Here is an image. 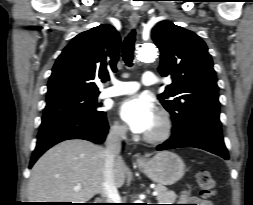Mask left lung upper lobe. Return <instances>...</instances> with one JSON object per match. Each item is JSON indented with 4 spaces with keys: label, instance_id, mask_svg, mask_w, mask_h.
Returning <instances> with one entry per match:
<instances>
[{
    "label": "left lung upper lobe",
    "instance_id": "1",
    "mask_svg": "<svg viewBox=\"0 0 253 205\" xmlns=\"http://www.w3.org/2000/svg\"><path fill=\"white\" fill-rule=\"evenodd\" d=\"M152 38L161 51L158 71L172 79L158 98L172 115L174 128L184 130L204 116L219 119L217 78L204 41L169 21L159 22Z\"/></svg>",
    "mask_w": 253,
    "mask_h": 205
}]
</instances>
